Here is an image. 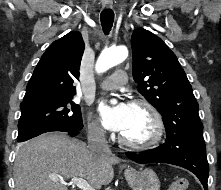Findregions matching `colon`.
<instances>
[{
    "label": "colon",
    "instance_id": "obj_1",
    "mask_svg": "<svg viewBox=\"0 0 221 190\" xmlns=\"http://www.w3.org/2000/svg\"><path fill=\"white\" fill-rule=\"evenodd\" d=\"M188 189V181L184 178H180L175 180L171 185L169 190H187Z\"/></svg>",
    "mask_w": 221,
    "mask_h": 190
}]
</instances>
